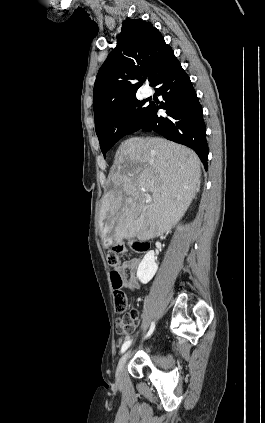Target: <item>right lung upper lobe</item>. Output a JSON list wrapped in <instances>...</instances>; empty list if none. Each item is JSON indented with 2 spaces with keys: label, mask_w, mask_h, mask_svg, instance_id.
Here are the masks:
<instances>
[{
  "label": "right lung upper lobe",
  "mask_w": 265,
  "mask_h": 423,
  "mask_svg": "<svg viewBox=\"0 0 265 423\" xmlns=\"http://www.w3.org/2000/svg\"><path fill=\"white\" fill-rule=\"evenodd\" d=\"M175 58L160 32L150 22L126 19L116 47L103 63L94 84L95 124L123 101L135 96L142 77L150 85ZM139 82L133 84V80Z\"/></svg>",
  "instance_id": "right-lung-upper-lobe-1"
}]
</instances>
